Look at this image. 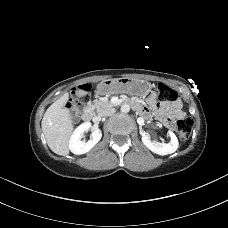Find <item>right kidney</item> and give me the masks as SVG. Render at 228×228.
I'll use <instances>...</instances> for the list:
<instances>
[{
    "label": "right kidney",
    "instance_id": "ca27d5eb",
    "mask_svg": "<svg viewBox=\"0 0 228 228\" xmlns=\"http://www.w3.org/2000/svg\"><path fill=\"white\" fill-rule=\"evenodd\" d=\"M91 128L90 122H85L78 126L72 133L69 140V149L76 155L89 152L101 139L102 132L99 128L92 129V138L87 142L82 140L83 134Z\"/></svg>",
    "mask_w": 228,
    "mask_h": 228
}]
</instances>
